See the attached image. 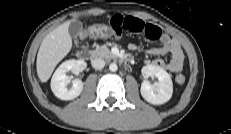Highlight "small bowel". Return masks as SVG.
<instances>
[{"instance_id": "obj_1", "label": "small bowel", "mask_w": 231, "mask_h": 134, "mask_svg": "<svg viewBox=\"0 0 231 134\" xmlns=\"http://www.w3.org/2000/svg\"><path fill=\"white\" fill-rule=\"evenodd\" d=\"M115 32L118 33L115 38H119L124 31L144 34L148 39L159 42L158 46L151 47L146 50L148 54L155 56L170 55V60L166 62L163 59H155L149 62V65L157 68L166 69L172 73H179L183 69L184 54L177 40L171 38L162 30L152 24L143 21L134 16L114 15L109 20V25ZM131 49L142 51V47L132 45Z\"/></svg>"}]
</instances>
